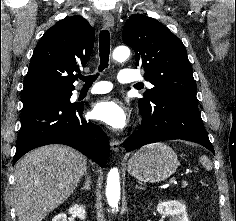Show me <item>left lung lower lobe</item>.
I'll use <instances>...</instances> for the list:
<instances>
[{
  "label": "left lung lower lobe",
  "instance_id": "obj_1",
  "mask_svg": "<svg viewBox=\"0 0 236 221\" xmlns=\"http://www.w3.org/2000/svg\"><path fill=\"white\" fill-rule=\"evenodd\" d=\"M139 111L142 125L136 134L125 141L127 152L152 142L182 139L201 144L214 154L196 97L164 95L150 106L139 107Z\"/></svg>",
  "mask_w": 236,
  "mask_h": 221
}]
</instances>
